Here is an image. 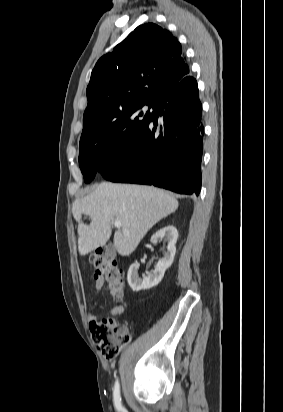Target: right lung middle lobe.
I'll return each mask as SVG.
<instances>
[{"label": "right lung middle lobe", "mask_w": 283, "mask_h": 412, "mask_svg": "<svg viewBox=\"0 0 283 412\" xmlns=\"http://www.w3.org/2000/svg\"><path fill=\"white\" fill-rule=\"evenodd\" d=\"M156 107L157 103L137 104L118 115L106 130L80 139L79 164L85 183L133 146Z\"/></svg>", "instance_id": "1"}]
</instances>
